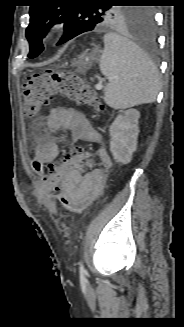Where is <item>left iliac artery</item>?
I'll return each instance as SVG.
<instances>
[{
  "label": "left iliac artery",
  "instance_id": "obj_1",
  "mask_svg": "<svg viewBox=\"0 0 184 327\" xmlns=\"http://www.w3.org/2000/svg\"><path fill=\"white\" fill-rule=\"evenodd\" d=\"M79 270H80V274L81 275H84L86 273V270H85L82 262H80Z\"/></svg>",
  "mask_w": 184,
  "mask_h": 327
}]
</instances>
